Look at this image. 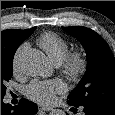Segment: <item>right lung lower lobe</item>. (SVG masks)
<instances>
[{
  "label": "right lung lower lobe",
  "instance_id": "98d812e1",
  "mask_svg": "<svg viewBox=\"0 0 115 115\" xmlns=\"http://www.w3.org/2000/svg\"><path fill=\"white\" fill-rule=\"evenodd\" d=\"M38 111L37 105L27 99H20L16 106L5 104L1 98V115H33Z\"/></svg>",
  "mask_w": 115,
  "mask_h": 115
}]
</instances>
